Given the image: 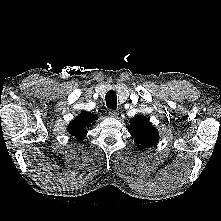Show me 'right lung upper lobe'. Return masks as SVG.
Instances as JSON below:
<instances>
[{"label":"right lung upper lobe","mask_w":221,"mask_h":221,"mask_svg":"<svg viewBox=\"0 0 221 221\" xmlns=\"http://www.w3.org/2000/svg\"><path fill=\"white\" fill-rule=\"evenodd\" d=\"M96 117L90 112L82 111L68 126L69 134L75 136L78 141H83L87 134V128L95 123Z\"/></svg>","instance_id":"right-lung-upper-lobe-1"}]
</instances>
